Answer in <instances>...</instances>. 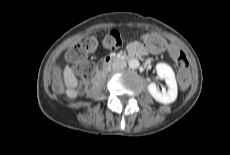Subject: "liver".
<instances>
[{"label":"liver","mask_w":230,"mask_h":155,"mask_svg":"<svg viewBox=\"0 0 230 155\" xmlns=\"http://www.w3.org/2000/svg\"><path fill=\"white\" fill-rule=\"evenodd\" d=\"M63 78L66 86V95L69 98H76L78 92L75 90V88L78 86V80L68 65H66L63 70Z\"/></svg>","instance_id":"1"}]
</instances>
